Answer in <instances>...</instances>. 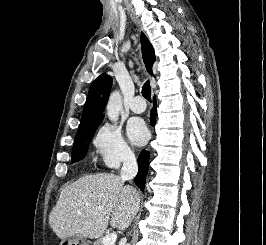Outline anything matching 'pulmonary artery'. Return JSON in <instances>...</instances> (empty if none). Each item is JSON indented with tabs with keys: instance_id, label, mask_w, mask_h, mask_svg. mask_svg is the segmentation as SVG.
Returning a JSON list of instances; mask_svg holds the SVG:
<instances>
[{
	"instance_id": "obj_1",
	"label": "pulmonary artery",
	"mask_w": 266,
	"mask_h": 245,
	"mask_svg": "<svg viewBox=\"0 0 266 245\" xmlns=\"http://www.w3.org/2000/svg\"><path fill=\"white\" fill-rule=\"evenodd\" d=\"M129 108L134 112V113H142L146 109V104L142 100V96H136L131 103L129 104Z\"/></svg>"
}]
</instances>
